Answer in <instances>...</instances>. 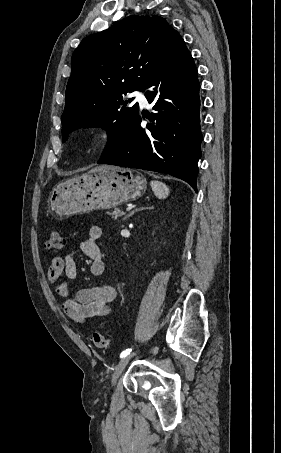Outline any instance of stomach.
I'll return each mask as SVG.
<instances>
[{
    "label": "stomach",
    "mask_w": 281,
    "mask_h": 453,
    "mask_svg": "<svg viewBox=\"0 0 281 453\" xmlns=\"http://www.w3.org/2000/svg\"><path fill=\"white\" fill-rule=\"evenodd\" d=\"M146 184L143 174L131 168L108 166L99 172H87L56 184L48 198L50 212L61 218L111 208L142 196Z\"/></svg>",
    "instance_id": "stomach-1"
}]
</instances>
